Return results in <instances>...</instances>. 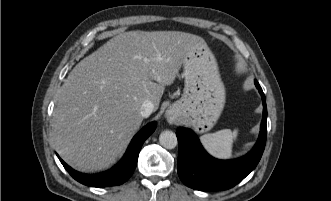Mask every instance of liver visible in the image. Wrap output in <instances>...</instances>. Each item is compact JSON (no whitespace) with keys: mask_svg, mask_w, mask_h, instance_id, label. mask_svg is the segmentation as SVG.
Wrapping results in <instances>:
<instances>
[{"mask_svg":"<svg viewBox=\"0 0 331 201\" xmlns=\"http://www.w3.org/2000/svg\"><path fill=\"white\" fill-rule=\"evenodd\" d=\"M205 41L181 31L121 33L81 60L61 86L53 118L58 154L80 172L110 167L139 129L141 105L158 109L185 56Z\"/></svg>","mask_w":331,"mask_h":201,"instance_id":"6515ba94","label":"liver"}]
</instances>
